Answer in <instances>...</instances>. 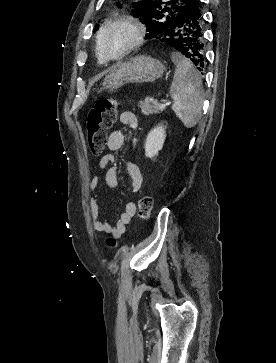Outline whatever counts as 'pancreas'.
Segmentation results:
<instances>
[{
    "mask_svg": "<svg viewBox=\"0 0 276 363\" xmlns=\"http://www.w3.org/2000/svg\"><path fill=\"white\" fill-rule=\"evenodd\" d=\"M138 106L144 115L159 114L163 110L156 100L149 98L139 101Z\"/></svg>",
    "mask_w": 276,
    "mask_h": 363,
    "instance_id": "pancreas-1",
    "label": "pancreas"
}]
</instances>
